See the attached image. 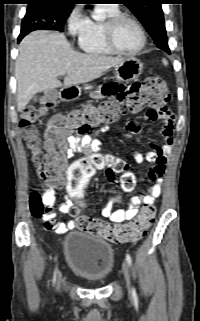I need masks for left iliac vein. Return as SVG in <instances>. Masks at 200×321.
<instances>
[{
	"label": "left iliac vein",
	"mask_w": 200,
	"mask_h": 321,
	"mask_svg": "<svg viewBox=\"0 0 200 321\" xmlns=\"http://www.w3.org/2000/svg\"><path fill=\"white\" fill-rule=\"evenodd\" d=\"M122 269H123L124 277H125V280L127 283L128 292H129V294H131L132 288H131V283H130V269H129V265L126 261L123 262Z\"/></svg>",
	"instance_id": "obj_1"
}]
</instances>
